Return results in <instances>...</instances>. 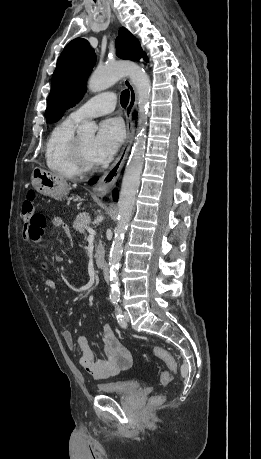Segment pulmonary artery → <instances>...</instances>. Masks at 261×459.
I'll use <instances>...</instances> for the list:
<instances>
[{"instance_id": "1", "label": "pulmonary artery", "mask_w": 261, "mask_h": 459, "mask_svg": "<svg viewBox=\"0 0 261 459\" xmlns=\"http://www.w3.org/2000/svg\"><path fill=\"white\" fill-rule=\"evenodd\" d=\"M116 106V95L113 92L99 93L78 108H76L70 117L76 120H81L85 117H96L111 113Z\"/></svg>"}]
</instances>
